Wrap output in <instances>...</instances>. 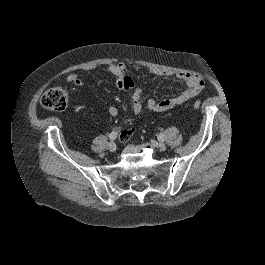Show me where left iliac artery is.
<instances>
[{"mask_svg": "<svg viewBox=\"0 0 265 265\" xmlns=\"http://www.w3.org/2000/svg\"><path fill=\"white\" fill-rule=\"evenodd\" d=\"M164 138H165L164 133H160V134L158 135V140L164 141Z\"/></svg>", "mask_w": 265, "mask_h": 265, "instance_id": "1", "label": "left iliac artery"}]
</instances>
